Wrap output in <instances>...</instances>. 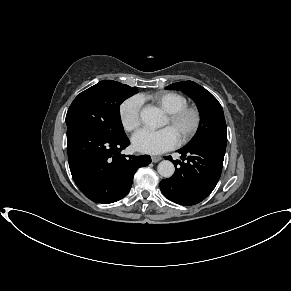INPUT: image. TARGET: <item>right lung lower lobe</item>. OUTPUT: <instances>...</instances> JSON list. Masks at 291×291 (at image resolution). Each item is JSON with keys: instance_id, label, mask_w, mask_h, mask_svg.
<instances>
[{"instance_id": "1", "label": "right lung lower lobe", "mask_w": 291, "mask_h": 291, "mask_svg": "<svg viewBox=\"0 0 291 291\" xmlns=\"http://www.w3.org/2000/svg\"><path fill=\"white\" fill-rule=\"evenodd\" d=\"M129 144L126 135L107 137L83 128L67 129L70 171L87 198L108 204L127 195L137 169L151 162L148 155L120 154Z\"/></svg>"}]
</instances>
